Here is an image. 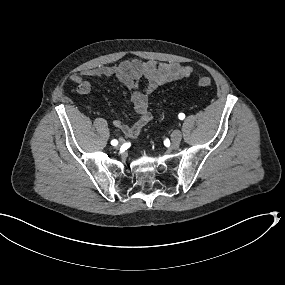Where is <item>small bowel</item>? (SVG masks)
Masks as SVG:
<instances>
[{
    "label": "small bowel",
    "mask_w": 285,
    "mask_h": 285,
    "mask_svg": "<svg viewBox=\"0 0 285 285\" xmlns=\"http://www.w3.org/2000/svg\"><path fill=\"white\" fill-rule=\"evenodd\" d=\"M192 72L191 67L179 63L127 59L114 65L73 74L71 81L76 85V92L80 95L88 94L92 89V84L87 78L113 79L123 83L130 91V100L138 114V120L133 125H128L120 118H115L112 124L127 137L134 138L152 120L149 96L160 86L188 78ZM142 78L146 80V85L140 90L139 82Z\"/></svg>",
    "instance_id": "small-bowel-1"
}]
</instances>
